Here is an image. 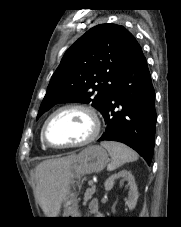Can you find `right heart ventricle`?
<instances>
[{
  "label": "right heart ventricle",
  "instance_id": "obj_1",
  "mask_svg": "<svg viewBox=\"0 0 181 227\" xmlns=\"http://www.w3.org/2000/svg\"><path fill=\"white\" fill-rule=\"evenodd\" d=\"M41 140H42V137H41ZM42 145L45 147V144H44L43 140H42Z\"/></svg>",
  "mask_w": 181,
  "mask_h": 227
}]
</instances>
